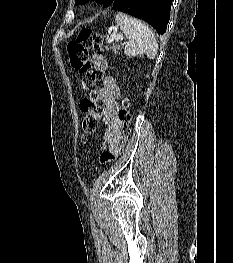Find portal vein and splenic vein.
<instances>
[{"mask_svg":"<svg viewBox=\"0 0 233 263\" xmlns=\"http://www.w3.org/2000/svg\"><path fill=\"white\" fill-rule=\"evenodd\" d=\"M118 40L123 41V37L118 33H113L111 34L108 42H113V41H118Z\"/></svg>","mask_w":233,"mask_h":263,"instance_id":"portal-vein-and-splenic-vein-1","label":"portal vein and splenic vein"}]
</instances>
